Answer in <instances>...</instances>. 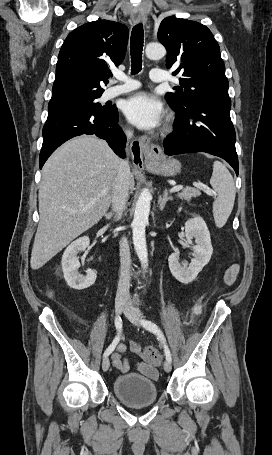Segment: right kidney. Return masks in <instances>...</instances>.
Instances as JSON below:
<instances>
[{"label": "right kidney", "instance_id": "right-kidney-1", "mask_svg": "<svg viewBox=\"0 0 272 455\" xmlns=\"http://www.w3.org/2000/svg\"><path fill=\"white\" fill-rule=\"evenodd\" d=\"M90 240L83 236L72 242L62 256V270L67 284L74 289L82 290L90 287L96 280L95 271L88 269L86 276L79 274L80 262L77 254L89 246Z\"/></svg>", "mask_w": 272, "mask_h": 455}]
</instances>
